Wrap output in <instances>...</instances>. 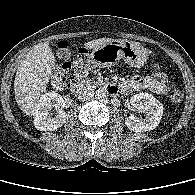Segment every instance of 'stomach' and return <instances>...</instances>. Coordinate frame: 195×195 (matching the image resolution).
Returning <instances> with one entry per match:
<instances>
[{
  "mask_svg": "<svg viewBox=\"0 0 195 195\" xmlns=\"http://www.w3.org/2000/svg\"><path fill=\"white\" fill-rule=\"evenodd\" d=\"M147 56L146 50L137 42L112 40L93 49L90 59L92 65L99 68L114 66L121 59L133 67L140 68L146 63Z\"/></svg>",
  "mask_w": 195,
  "mask_h": 195,
  "instance_id": "1",
  "label": "stomach"
}]
</instances>
